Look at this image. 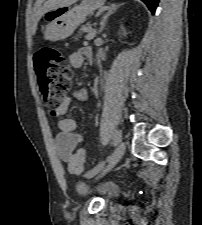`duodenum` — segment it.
Listing matches in <instances>:
<instances>
[{"label": "duodenum", "instance_id": "obj_1", "mask_svg": "<svg viewBox=\"0 0 202 225\" xmlns=\"http://www.w3.org/2000/svg\"><path fill=\"white\" fill-rule=\"evenodd\" d=\"M88 60H89V61H92V60H93V55H92V53H90V54L88 55Z\"/></svg>", "mask_w": 202, "mask_h": 225}]
</instances>
